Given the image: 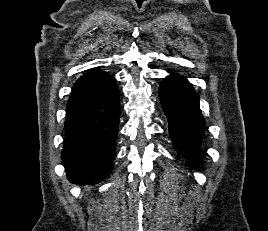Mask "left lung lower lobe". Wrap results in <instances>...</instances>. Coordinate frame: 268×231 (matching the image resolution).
Wrapping results in <instances>:
<instances>
[{"instance_id": "1", "label": "left lung lower lobe", "mask_w": 268, "mask_h": 231, "mask_svg": "<svg viewBox=\"0 0 268 231\" xmlns=\"http://www.w3.org/2000/svg\"><path fill=\"white\" fill-rule=\"evenodd\" d=\"M159 96L174 148L197 163L205 133L198 94L184 76L173 74L162 80Z\"/></svg>"}]
</instances>
